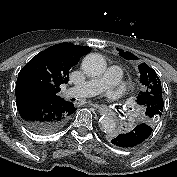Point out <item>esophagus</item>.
<instances>
[{
	"instance_id": "esophagus-1",
	"label": "esophagus",
	"mask_w": 177,
	"mask_h": 177,
	"mask_svg": "<svg viewBox=\"0 0 177 177\" xmlns=\"http://www.w3.org/2000/svg\"><path fill=\"white\" fill-rule=\"evenodd\" d=\"M95 107L98 109V111L100 113H104V112L108 111V108L106 106H104V105H99V106H95Z\"/></svg>"
}]
</instances>
